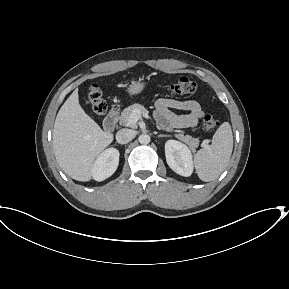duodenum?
Here are the masks:
<instances>
[{
	"mask_svg": "<svg viewBox=\"0 0 289 289\" xmlns=\"http://www.w3.org/2000/svg\"><path fill=\"white\" fill-rule=\"evenodd\" d=\"M117 124V112L115 110H111L103 122V127L106 131L111 132L115 129Z\"/></svg>",
	"mask_w": 289,
	"mask_h": 289,
	"instance_id": "obj_1",
	"label": "duodenum"
}]
</instances>
